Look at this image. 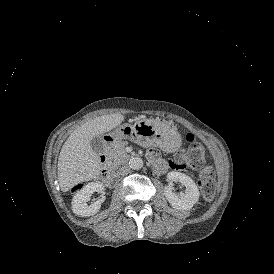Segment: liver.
<instances>
[{
  "label": "liver",
  "mask_w": 274,
  "mask_h": 274,
  "mask_svg": "<svg viewBox=\"0 0 274 274\" xmlns=\"http://www.w3.org/2000/svg\"><path fill=\"white\" fill-rule=\"evenodd\" d=\"M123 120L124 116L120 113L103 115L85 122L70 134L58 158V182L61 191L67 192L75 185L99 175V155L94 152L90 142L94 137L117 127Z\"/></svg>",
  "instance_id": "liver-1"
}]
</instances>
